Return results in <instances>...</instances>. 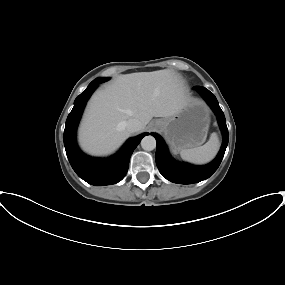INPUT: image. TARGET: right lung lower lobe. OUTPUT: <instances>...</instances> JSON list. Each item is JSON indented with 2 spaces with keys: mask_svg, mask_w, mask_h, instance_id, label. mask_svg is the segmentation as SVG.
I'll use <instances>...</instances> for the list:
<instances>
[{
  "mask_svg": "<svg viewBox=\"0 0 285 285\" xmlns=\"http://www.w3.org/2000/svg\"><path fill=\"white\" fill-rule=\"evenodd\" d=\"M98 84L91 83L75 99L74 107L66 120L64 145L69 162L77 175L91 185L103 186L123 179L128 171L131 154L148 133L129 139L118 154L108 159L92 158L83 154L76 144V129L85 104Z\"/></svg>",
  "mask_w": 285,
  "mask_h": 285,
  "instance_id": "obj_1",
  "label": "right lung lower lobe"
}]
</instances>
